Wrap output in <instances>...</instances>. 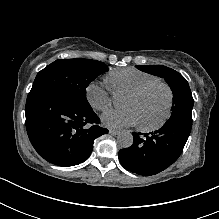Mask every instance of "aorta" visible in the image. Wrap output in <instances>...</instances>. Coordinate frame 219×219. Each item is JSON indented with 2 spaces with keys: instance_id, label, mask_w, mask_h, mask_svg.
Returning <instances> with one entry per match:
<instances>
[{
  "instance_id": "aorta-1",
  "label": "aorta",
  "mask_w": 219,
  "mask_h": 219,
  "mask_svg": "<svg viewBox=\"0 0 219 219\" xmlns=\"http://www.w3.org/2000/svg\"><path fill=\"white\" fill-rule=\"evenodd\" d=\"M117 143L121 148H128L133 144V136L129 131H122L117 137Z\"/></svg>"
}]
</instances>
